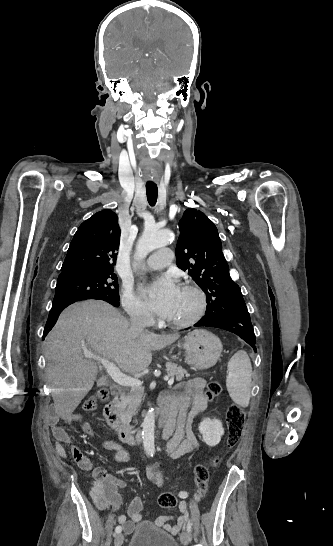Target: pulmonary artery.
Returning a JSON list of instances; mask_svg holds the SVG:
<instances>
[{
	"mask_svg": "<svg viewBox=\"0 0 333 546\" xmlns=\"http://www.w3.org/2000/svg\"><path fill=\"white\" fill-rule=\"evenodd\" d=\"M172 255V251L168 248L159 249L148 257L142 267L147 270L162 269L170 264Z\"/></svg>",
	"mask_w": 333,
	"mask_h": 546,
	"instance_id": "1",
	"label": "pulmonary artery"
}]
</instances>
